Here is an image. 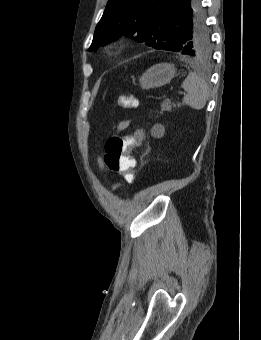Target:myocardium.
Returning <instances> with one entry per match:
<instances>
[{"mask_svg": "<svg viewBox=\"0 0 261 340\" xmlns=\"http://www.w3.org/2000/svg\"><path fill=\"white\" fill-rule=\"evenodd\" d=\"M107 48H108V49H112V48H114V45H113V44H109V45L107 46Z\"/></svg>", "mask_w": 261, "mask_h": 340, "instance_id": "1", "label": "myocardium"}]
</instances>
